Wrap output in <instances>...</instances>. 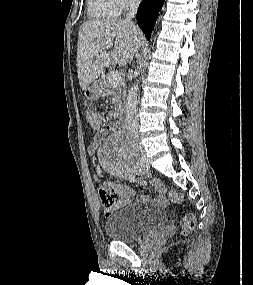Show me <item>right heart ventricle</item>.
<instances>
[{"label":"right heart ventricle","mask_w":253,"mask_h":285,"mask_svg":"<svg viewBox=\"0 0 253 285\" xmlns=\"http://www.w3.org/2000/svg\"><path fill=\"white\" fill-rule=\"evenodd\" d=\"M89 15L94 19H113L120 15L121 9L116 0H88Z\"/></svg>","instance_id":"1"}]
</instances>
